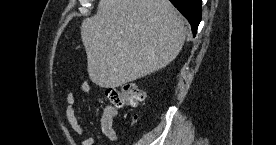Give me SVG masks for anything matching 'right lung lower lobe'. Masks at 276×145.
Listing matches in <instances>:
<instances>
[{
  "mask_svg": "<svg viewBox=\"0 0 276 145\" xmlns=\"http://www.w3.org/2000/svg\"><path fill=\"white\" fill-rule=\"evenodd\" d=\"M191 24L193 36L197 33L201 21V0H170Z\"/></svg>",
  "mask_w": 276,
  "mask_h": 145,
  "instance_id": "98d812e1",
  "label": "right lung lower lobe"
}]
</instances>
